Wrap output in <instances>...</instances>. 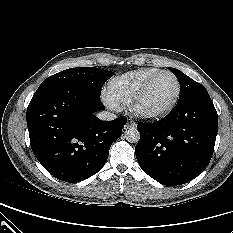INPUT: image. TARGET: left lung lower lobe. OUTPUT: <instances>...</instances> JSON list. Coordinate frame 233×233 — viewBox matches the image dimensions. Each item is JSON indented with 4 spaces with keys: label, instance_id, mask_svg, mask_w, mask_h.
<instances>
[{
    "label": "left lung lower lobe",
    "instance_id": "1",
    "mask_svg": "<svg viewBox=\"0 0 233 233\" xmlns=\"http://www.w3.org/2000/svg\"><path fill=\"white\" fill-rule=\"evenodd\" d=\"M137 161L143 171L167 186L187 183L210 162L218 115L207 90L179 100L163 119L140 123Z\"/></svg>",
    "mask_w": 233,
    "mask_h": 233
}]
</instances>
